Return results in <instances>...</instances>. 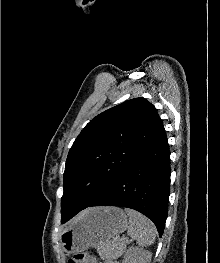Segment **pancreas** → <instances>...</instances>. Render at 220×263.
Instances as JSON below:
<instances>
[{"instance_id":"pancreas-1","label":"pancreas","mask_w":220,"mask_h":263,"mask_svg":"<svg viewBox=\"0 0 220 263\" xmlns=\"http://www.w3.org/2000/svg\"><path fill=\"white\" fill-rule=\"evenodd\" d=\"M123 250V246L114 242L107 243L98 248V253L103 259L112 260L118 257Z\"/></svg>"}]
</instances>
